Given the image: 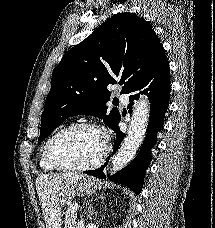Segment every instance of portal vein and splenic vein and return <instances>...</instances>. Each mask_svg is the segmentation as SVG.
<instances>
[{"label":"portal vein and splenic vein","mask_w":215,"mask_h":228,"mask_svg":"<svg viewBox=\"0 0 215 228\" xmlns=\"http://www.w3.org/2000/svg\"><path fill=\"white\" fill-rule=\"evenodd\" d=\"M72 210H78V204H74V206H71Z\"/></svg>","instance_id":"portal-vein-and-splenic-vein-1"}]
</instances>
